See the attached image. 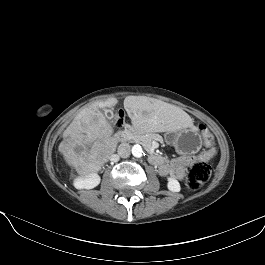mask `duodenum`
I'll list each match as a JSON object with an SVG mask.
<instances>
[{
  "label": "duodenum",
  "instance_id": "obj_1",
  "mask_svg": "<svg viewBox=\"0 0 265 265\" xmlns=\"http://www.w3.org/2000/svg\"><path fill=\"white\" fill-rule=\"evenodd\" d=\"M125 137V131H119L116 135L115 138L116 140H122ZM149 160L152 164L156 166H160L164 163V158L162 156L156 155V154H151L149 156Z\"/></svg>",
  "mask_w": 265,
  "mask_h": 265
}]
</instances>
